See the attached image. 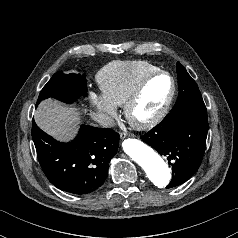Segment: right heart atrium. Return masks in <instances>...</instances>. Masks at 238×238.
<instances>
[{
	"label": "right heart atrium",
	"mask_w": 238,
	"mask_h": 238,
	"mask_svg": "<svg viewBox=\"0 0 238 238\" xmlns=\"http://www.w3.org/2000/svg\"><path fill=\"white\" fill-rule=\"evenodd\" d=\"M89 102L100 114V121L104 126H110L117 117V108L103 94L90 92Z\"/></svg>",
	"instance_id": "right-heart-atrium-1"
}]
</instances>
